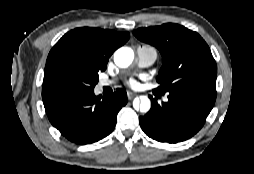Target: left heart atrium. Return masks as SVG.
Here are the masks:
<instances>
[{"mask_svg":"<svg viewBox=\"0 0 254 174\" xmlns=\"http://www.w3.org/2000/svg\"><path fill=\"white\" fill-rule=\"evenodd\" d=\"M128 85H129L130 87H132V88H136V87H138V82H137L135 79H130V80L128 81Z\"/></svg>","mask_w":254,"mask_h":174,"instance_id":"left-heart-atrium-1","label":"left heart atrium"}]
</instances>
